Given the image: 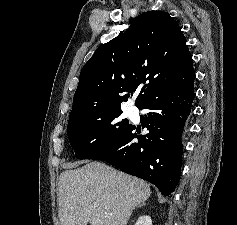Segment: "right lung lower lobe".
<instances>
[{
    "label": "right lung lower lobe",
    "instance_id": "obj_1",
    "mask_svg": "<svg viewBox=\"0 0 237 225\" xmlns=\"http://www.w3.org/2000/svg\"><path fill=\"white\" fill-rule=\"evenodd\" d=\"M194 97V83L162 86L138 106L150 110L140 119L149 133L139 135L130 125L108 148L89 158L106 161L151 182L163 195L172 196L181 173V136ZM135 138L138 142H133Z\"/></svg>",
    "mask_w": 237,
    "mask_h": 225
}]
</instances>
